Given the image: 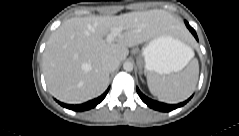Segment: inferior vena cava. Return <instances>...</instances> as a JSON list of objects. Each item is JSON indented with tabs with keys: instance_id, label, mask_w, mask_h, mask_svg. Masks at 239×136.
Returning <instances> with one entry per match:
<instances>
[{
	"instance_id": "602c4592",
	"label": "inferior vena cava",
	"mask_w": 239,
	"mask_h": 136,
	"mask_svg": "<svg viewBox=\"0 0 239 136\" xmlns=\"http://www.w3.org/2000/svg\"><path fill=\"white\" fill-rule=\"evenodd\" d=\"M119 63H120L119 60L115 58H107L103 60L102 65L104 69H106L109 72H112L118 68Z\"/></svg>"
}]
</instances>
